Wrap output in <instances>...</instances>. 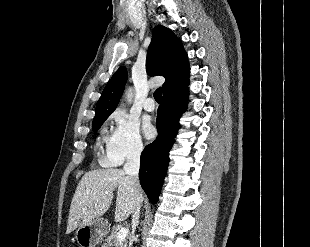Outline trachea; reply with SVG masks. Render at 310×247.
<instances>
[{"label":"trachea","mask_w":310,"mask_h":247,"mask_svg":"<svg viewBox=\"0 0 310 247\" xmlns=\"http://www.w3.org/2000/svg\"><path fill=\"white\" fill-rule=\"evenodd\" d=\"M153 96H154V99L156 100V102L160 103L161 98H162V88H161V87L158 88V89L154 92Z\"/></svg>","instance_id":"3493384b"}]
</instances>
